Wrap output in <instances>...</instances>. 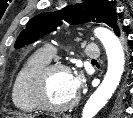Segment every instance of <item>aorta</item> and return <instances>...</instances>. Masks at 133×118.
Returning <instances> with one entry per match:
<instances>
[{
    "label": "aorta",
    "instance_id": "762f6f07",
    "mask_svg": "<svg viewBox=\"0 0 133 118\" xmlns=\"http://www.w3.org/2000/svg\"><path fill=\"white\" fill-rule=\"evenodd\" d=\"M94 33L106 50L108 69L102 83L86 102L82 111V118H94L105 106L117 89L125 66L123 47L115 34L103 27L96 28Z\"/></svg>",
    "mask_w": 133,
    "mask_h": 118
}]
</instances>
